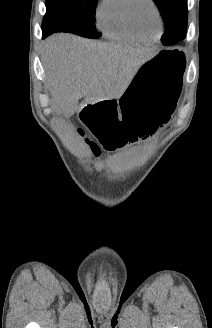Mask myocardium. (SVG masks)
Instances as JSON below:
<instances>
[{
	"label": "myocardium",
	"mask_w": 212,
	"mask_h": 328,
	"mask_svg": "<svg viewBox=\"0 0 212 328\" xmlns=\"http://www.w3.org/2000/svg\"><path fill=\"white\" fill-rule=\"evenodd\" d=\"M147 2L155 11V14L157 16V20H158V29L155 33V35L158 37L161 32H162V28H163V18H162V14L161 11L158 7V5L156 4V2L154 0H130V4L128 7V17H129V21L133 27V29L138 33L141 34L143 29L140 27L136 16H135V8L137 6V4L139 2Z\"/></svg>",
	"instance_id": "1"
}]
</instances>
